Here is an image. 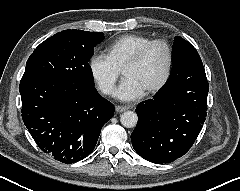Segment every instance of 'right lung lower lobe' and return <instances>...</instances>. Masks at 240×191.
Instances as JSON below:
<instances>
[{"instance_id":"right-lung-lower-lobe-1","label":"right lung lower lobe","mask_w":240,"mask_h":191,"mask_svg":"<svg viewBox=\"0 0 240 191\" xmlns=\"http://www.w3.org/2000/svg\"><path fill=\"white\" fill-rule=\"evenodd\" d=\"M22 118L38 147L53 159L70 164L95 148L114 106L94 87L82 88L53 78H22Z\"/></svg>"}]
</instances>
